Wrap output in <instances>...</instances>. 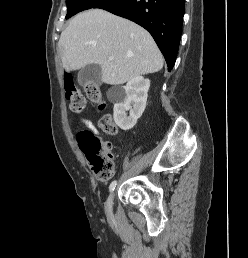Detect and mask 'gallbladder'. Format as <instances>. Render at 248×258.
Masks as SVG:
<instances>
[{
	"label": "gallbladder",
	"instance_id": "gallbladder-1",
	"mask_svg": "<svg viewBox=\"0 0 248 258\" xmlns=\"http://www.w3.org/2000/svg\"><path fill=\"white\" fill-rule=\"evenodd\" d=\"M102 69L99 64H88L83 67L78 74V83L85 87L87 84H101Z\"/></svg>",
	"mask_w": 248,
	"mask_h": 258
}]
</instances>
